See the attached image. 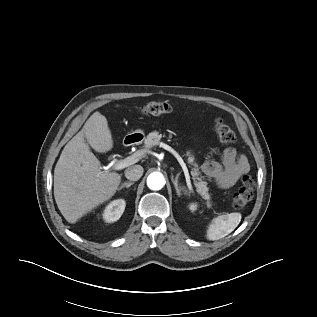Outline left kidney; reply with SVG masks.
<instances>
[{
  "mask_svg": "<svg viewBox=\"0 0 317 317\" xmlns=\"http://www.w3.org/2000/svg\"><path fill=\"white\" fill-rule=\"evenodd\" d=\"M198 205L196 203H190L189 209L193 212L197 210Z\"/></svg>",
  "mask_w": 317,
  "mask_h": 317,
  "instance_id": "1",
  "label": "left kidney"
}]
</instances>
